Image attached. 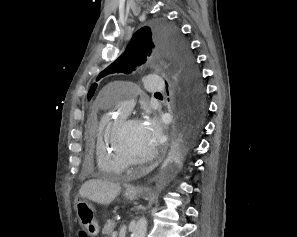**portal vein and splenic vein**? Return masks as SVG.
<instances>
[{
    "label": "portal vein and splenic vein",
    "mask_w": 297,
    "mask_h": 237,
    "mask_svg": "<svg viewBox=\"0 0 297 237\" xmlns=\"http://www.w3.org/2000/svg\"><path fill=\"white\" fill-rule=\"evenodd\" d=\"M117 236V232H113L112 237H116Z\"/></svg>",
    "instance_id": "18ae733b"
}]
</instances>
